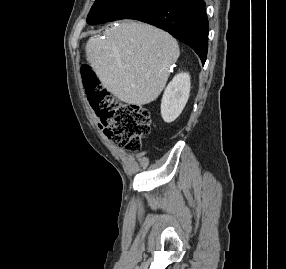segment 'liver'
<instances>
[{
  "mask_svg": "<svg viewBox=\"0 0 286 269\" xmlns=\"http://www.w3.org/2000/svg\"><path fill=\"white\" fill-rule=\"evenodd\" d=\"M105 36L91 37L86 44L87 62L103 86L128 104L156 100L180 55L177 41L154 26L127 20Z\"/></svg>",
  "mask_w": 286,
  "mask_h": 269,
  "instance_id": "6515ba94",
  "label": "liver"
}]
</instances>
